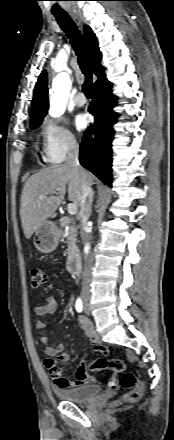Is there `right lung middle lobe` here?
Instances as JSON below:
<instances>
[{
  "label": "right lung middle lobe",
  "instance_id": "obj_1",
  "mask_svg": "<svg viewBox=\"0 0 174 440\" xmlns=\"http://www.w3.org/2000/svg\"><path fill=\"white\" fill-rule=\"evenodd\" d=\"M41 122H42V121H37V122L31 123V127H32V128H37V127L40 126Z\"/></svg>",
  "mask_w": 174,
  "mask_h": 440
}]
</instances>
